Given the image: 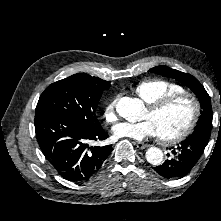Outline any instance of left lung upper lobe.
I'll list each match as a JSON object with an SVG mask.
<instances>
[{"label":"left lung upper lobe","mask_w":221,"mask_h":221,"mask_svg":"<svg viewBox=\"0 0 221 221\" xmlns=\"http://www.w3.org/2000/svg\"><path fill=\"white\" fill-rule=\"evenodd\" d=\"M151 73H157L169 78H175L185 86L189 87L198 97L201 103V116L197 122L194 133L207 131L211 133L212 129V106L211 99L202 86V84L192 75L183 73L181 71L171 69L167 66H157L149 70Z\"/></svg>","instance_id":"5c2ea615"}]
</instances>
